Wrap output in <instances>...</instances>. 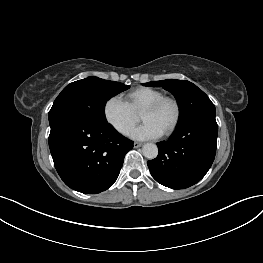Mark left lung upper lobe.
Wrapping results in <instances>:
<instances>
[{
	"mask_svg": "<svg viewBox=\"0 0 263 263\" xmlns=\"http://www.w3.org/2000/svg\"><path fill=\"white\" fill-rule=\"evenodd\" d=\"M143 85L161 86L175 96L180 108L178 126L199 117L215 116L214 104L202 90L189 81L169 79L151 81Z\"/></svg>",
	"mask_w": 263,
	"mask_h": 263,
	"instance_id": "obj_1",
	"label": "left lung upper lobe"
}]
</instances>
